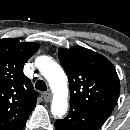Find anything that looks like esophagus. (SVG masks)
<instances>
[{"label":"esophagus","mask_w":130,"mask_h":130,"mask_svg":"<svg viewBox=\"0 0 130 130\" xmlns=\"http://www.w3.org/2000/svg\"><path fill=\"white\" fill-rule=\"evenodd\" d=\"M43 98L46 102H49L51 100V93L50 92H45L43 94Z\"/></svg>","instance_id":"1"}]
</instances>
